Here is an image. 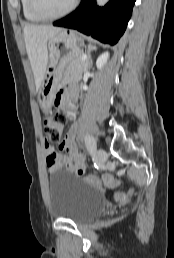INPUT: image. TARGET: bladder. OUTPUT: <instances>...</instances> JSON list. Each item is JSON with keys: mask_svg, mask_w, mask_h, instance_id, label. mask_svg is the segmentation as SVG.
I'll list each match as a JSON object with an SVG mask.
<instances>
[{"mask_svg": "<svg viewBox=\"0 0 174 258\" xmlns=\"http://www.w3.org/2000/svg\"><path fill=\"white\" fill-rule=\"evenodd\" d=\"M107 206L102 192L76 176L56 171L49 176L51 215L75 223H85L99 216Z\"/></svg>", "mask_w": 174, "mask_h": 258, "instance_id": "obj_1", "label": "bladder"}]
</instances>
